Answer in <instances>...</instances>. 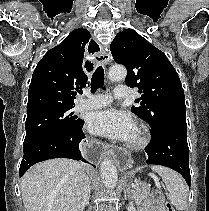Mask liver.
Instances as JSON below:
<instances>
[{
	"label": "liver",
	"mask_w": 209,
	"mask_h": 211,
	"mask_svg": "<svg viewBox=\"0 0 209 211\" xmlns=\"http://www.w3.org/2000/svg\"><path fill=\"white\" fill-rule=\"evenodd\" d=\"M87 176L80 162L57 158L31 167L21 179L26 211H82Z\"/></svg>",
	"instance_id": "obj_1"
}]
</instances>
